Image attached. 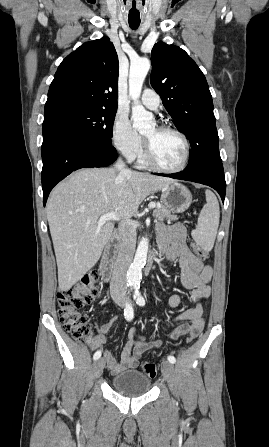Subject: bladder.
<instances>
[{"mask_svg": "<svg viewBox=\"0 0 269 447\" xmlns=\"http://www.w3.org/2000/svg\"><path fill=\"white\" fill-rule=\"evenodd\" d=\"M114 392L122 393L125 397L138 398L146 395L152 388V378L147 372L124 370L111 377Z\"/></svg>", "mask_w": 269, "mask_h": 447, "instance_id": "31cf9c89", "label": "bladder"}]
</instances>
